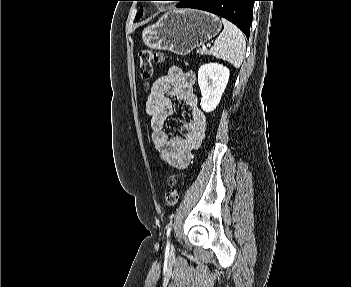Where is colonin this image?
Wrapping results in <instances>:
<instances>
[{"label": "colon", "mask_w": 351, "mask_h": 287, "mask_svg": "<svg viewBox=\"0 0 351 287\" xmlns=\"http://www.w3.org/2000/svg\"><path fill=\"white\" fill-rule=\"evenodd\" d=\"M161 55L159 53L143 50L139 53V66L140 75L143 79L149 80L154 74V67L161 61ZM170 189L165 194V204L167 206H174L179 200V188L177 180L174 176L169 178Z\"/></svg>", "instance_id": "5ec220e1"}]
</instances>
